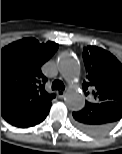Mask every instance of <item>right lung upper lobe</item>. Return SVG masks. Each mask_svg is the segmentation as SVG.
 <instances>
[{"label": "right lung upper lobe", "mask_w": 122, "mask_h": 154, "mask_svg": "<svg viewBox=\"0 0 122 154\" xmlns=\"http://www.w3.org/2000/svg\"><path fill=\"white\" fill-rule=\"evenodd\" d=\"M57 49L54 42L24 38L1 50V115L11 125L24 127L49 113L55 95L44 89L41 66Z\"/></svg>", "instance_id": "right-lung-upper-lobe-1"}]
</instances>
